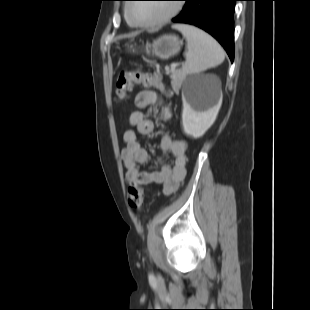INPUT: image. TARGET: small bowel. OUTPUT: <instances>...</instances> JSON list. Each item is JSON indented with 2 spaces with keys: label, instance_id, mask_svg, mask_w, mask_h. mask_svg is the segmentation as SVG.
<instances>
[{
  "label": "small bowel",
  "instance_id": "c3829d8e",
  "mask_svg": "<svg viewBox=\"0 0 310 310\" xmlns=\"http://www.w3.org/2000/svg\"><path fill=\"white\" fill-rule=\"evenodd\" d=\"M159 102V96L152 90H141L135 97L136 110L129 115V125L134 129L124 132L123 141L125 147L121 151V159L125 169V181L128 184L140 186L161 184L163 194L169 196L175 193L186 177V150L187 143L184 140H174L169 134H164L159 140L161 150L169 152L172 160L162 164L156 171H142L140 166L146 164L149 153L142 146L138 136H147L153 132V122L146 117V110L151 109ZM171 111L164 107L163 120H169Z\"/></svg>",
  "mask_w": 310,
  "mask_h": 310
}]
</instances>
